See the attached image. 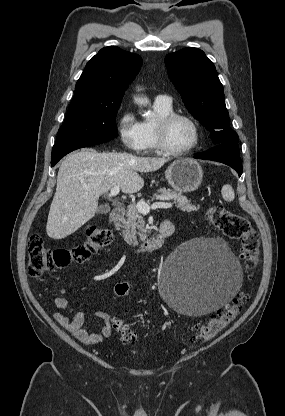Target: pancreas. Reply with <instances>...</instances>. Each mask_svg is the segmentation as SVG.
Wrapping results in <instances>:
<instances>
[{"label":"pancreas","instance_id":"obj_1","mask_svg":"<svg viewBox=\"0 0 285 416\" xmlns=\"http://www.w3.org/2000/svg\"><path fill=\"white\" fill-rule=\"evenodd\" d=\"M154 196H170V200H175L177 206L176 208H181L184 212H196L199 210L200 206H193L190 204V200H187L186 196H182V194H177V192H173V190H166V188H162V190H157V194ZM154 200V198H152ZM141 202H145V200H141ZM128 212H126V222H122L121 234L127 242V244H138V236L140 240H146L147 238V230L145 228V222L138 212L136 206H128Z\"/></svg>","mask_w":285,"mask_h":416}]
</instances>
